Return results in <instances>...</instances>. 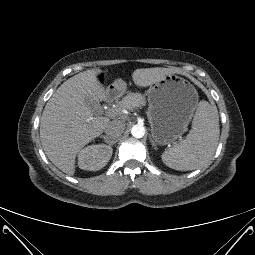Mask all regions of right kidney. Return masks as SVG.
Listing matches in <instances>:
<instances>
[{
	"label": "right kidney",
	"mask_w": 255,
	"mask_h": 255,
	"mask_svg": "<svg viewBox=\"0 0 255 255\" xmlns=\"http://www.w3.org/2000/svg\"><path fill=\"white\" fill-rule=\"evenodd\" d=\"M112 156V148L106 145H91L78 154L79 168L97 171L107 165Z\"/></svg>",
	"instance_id": "obj_1"
}]
</instances>
